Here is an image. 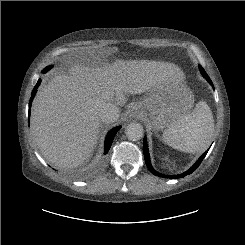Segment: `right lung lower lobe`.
<instances>
[{
    "mask_svg": "<svg viewBox=\"0 0 245 245\" xmlns=\"http://www.w3.org/2000/svg\"><path fill=\"white\" fill-rule=\"evenodd\" d=\"M48 70L44 69L43 72H47ZM41 83V79L38 80L36 86L34 87L33 91H32V96L30 98V102H29V115H30V108H31V104H32V101H33V98L37 92V88L39 87ZM121 126H118L114 129H112L106 136L105 138V145H104V154H107L110 147H111V144L113 142V139L116 135V133L120 130Z\"/></svg>",
    "mask_w": 245,
    "mask_h": 245,
    "instance_id": "obj_1",
    "label": "right lung lower lobe"
}]
</instances>
